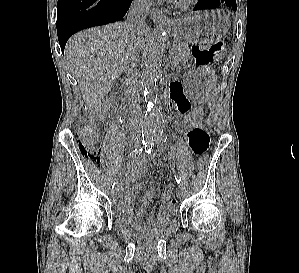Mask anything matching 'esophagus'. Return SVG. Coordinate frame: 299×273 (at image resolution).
I'll return each instance as SVG.
<instances>
[{
	"mask_svg": "<svg viewBox=\"0 0 299 273\" xmlns=\"http://www.w3.org/2000/svg\"><path fill=\"white\" fill-rule=\"evenodd\" d=\"M152 18L156 23H169L170 19L160 9H155L152 12Z\"/></svg>",
	"mask_w": 299,
	"mask_h": 273,
	"instance_id": "34e87169",
	"label": "esophagus"
}]
</instances>
